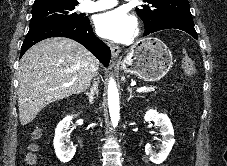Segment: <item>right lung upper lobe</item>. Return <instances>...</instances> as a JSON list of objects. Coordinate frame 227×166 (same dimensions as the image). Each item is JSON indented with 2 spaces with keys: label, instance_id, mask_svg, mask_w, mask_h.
<instances>
[{
  "label": "right lung upper lobe",
  "instance_id": "cb5924a9",
  "mask_svg": "<svg viewBox=\"0 0 227 166\" xmlns=\"http://www.w3.org/2000/svg\"><path fill=\"white\" fill-rule=\"evenodd\" d=\"M51 2L78 4L77 0H35L34 5L43 4V3H51Z\"/></svg>",
  "mask_w": 227,
  "mask_h": 166
}]
</instances>
